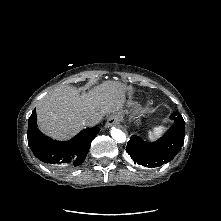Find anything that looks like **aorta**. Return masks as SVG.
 <instances>
[{
  "instance_id": "obj_1",
  "label": "aorta",
  "mask_w": 221,
  "mask_h": 221,
  "mask_svg": "<svg viewBox=\"0 0 221 221\" xmlns=\"http://www.w3.org/2000/svg\"><path fill=\"white\" fill-rule=\"evenodd\" d=\"M110 132H111L112 138H113L115 141H117L118 143H123V142H125V140H126V135H125V133H124L122 130L113 127Z\"/></svg>"
}]
</instances>
